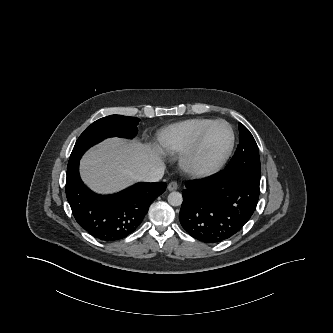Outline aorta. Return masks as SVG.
<instances>
[{
	"label": "aorta",
	"instance_id": "obj_1",
	"mask_svg": "<svg viewBox=\"0 0 333 333\" xmlns=\"http://www.w3.org/2000/svg\"><path fill=\"white\" fill-rule=\"evenodd\" d=\"M183 198L179 192H171L168 195V203L172 206H179L182 204Z\"/></svg>",
	"mask_w": 333,
	"mask_h": 333
}]
</instances>
